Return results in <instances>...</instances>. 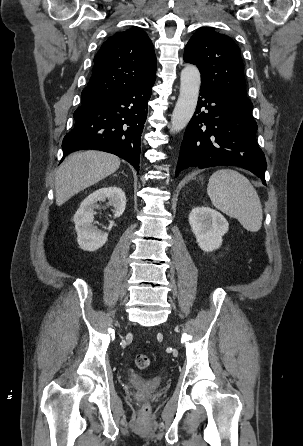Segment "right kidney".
Here are the masks:
<instances>
[{
  "mask_svg": "<svg viewBox=\"0 0 303 446\" xmlns=\"http://www.w3.org/2000/svg\"><path fill=\"white\" fill-rule=\"evenodd\" d=\"M114 208V217H120L126 206V196L123 190L116 186L100 188L88 195L74 215L73 221L77 232V242L84 251H96L108 240V234L93 226L94 209L97 202H106Z\"/></svg>",
  "mask_w": 303,
  "mask_h": 446,
  "instance_id": "right-kidney-1",
  "label": "right kidney"
}]
</instances>
